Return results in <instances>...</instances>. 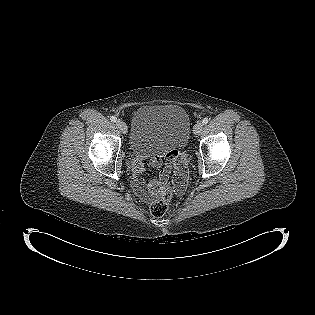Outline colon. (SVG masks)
<instances>
[{
    "mask_svg": "<svg viewBox=\"0 0 315 315\" xmlns=\"http://www.w3.org/2000/svg\"><path fill=\"white\" fill-rule=\"evenodd\" d=\"M185 187L186 179L184 174L178 175L172 184L166 183L159 192L158 198L150 205L151 214L155 217H162L168 210V203L173 194L175 192H182Z\"/></svg>",
    "mask_w": 315,
    "mask_h": 315,
    "instance_id": "obj_1",
    "label": "colon"
}]
</instances>
